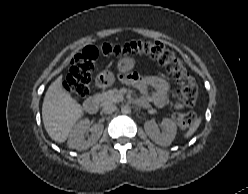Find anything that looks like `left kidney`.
Returning <instances> with one entry per match:
<instances>
[{
	"instance_id": "obj_1",
	"label": "left kidney",
	"mask_w": 248,
	"mask_h": 194,
	"mask_svg": "<svg viewBox=\"0 0 248 194\" xmlns=\"http://www.w3.org/2000/svg\"><path fill=\"white\" fill-rule=\"evenodd\" d=\"M162 125L165 127V133H160L156 125H150L145 128L149 138L156 144L163 147L169 146L174 140L177 132V127L174 121L169 118L162 120Z\"/></svg>"
}]
</instances>
